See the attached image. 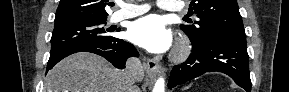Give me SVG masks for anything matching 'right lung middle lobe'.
I'll use <instances>...</instances> for the list:
<instances>
[{"instance_id":"1","label":"right lung middle lobe","mask_w":289,"mask_h":92,"mask_svg":"<svg viewBox=\"0 0 289 92\" xmlns=\"http://www.w3.org/2000/svg\"><path fill=\"white\" fill-rule=\"evenodd\" d=\"M106 19L77 18L55 22L51 38V52L64 47L87 42H109L116 38L108 35Z\"/></svg>"}]
</instances>
